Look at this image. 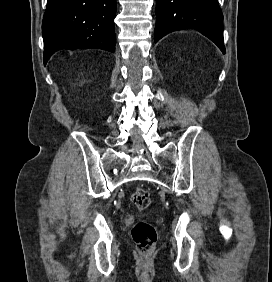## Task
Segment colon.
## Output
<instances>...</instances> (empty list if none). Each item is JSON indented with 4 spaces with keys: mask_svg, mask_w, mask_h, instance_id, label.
<instances>
[{
    "mask_svg": "<svg viewBox=\"0 0 272 282\" xmlns=\"http://www.w3.org/2000/svg\"><path fill=\"white\" fill-rule=\"evenodd\" d=\"M133 205L142 210L148 207L150 198L143 188H136L131 195ZM132 239L138 251L144 256H150L154 250L157 233L155 228L147 220L138 221L131 231Z\"/></svg>",
    "mask_w": 272,
    "mask_h": 282,
    "instance_id": "1",
    "label": "colon"
}]
</instances>
